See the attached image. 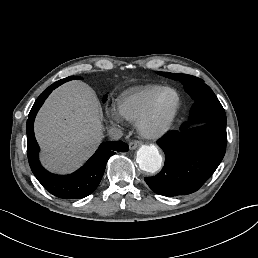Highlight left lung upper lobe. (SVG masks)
<instances>
[{
    "label": "left lung upper lobe",
    "instance_id": "obj_1",
    "mask_svg": "<svg viewBox=\"0 0 258 258\" xmlns=\"http://www.w3.org/2000/svg\"><path fill=\"white\" fill-rule=\"evenodd\" d=\"M158 74L179 80L184 85L185 92L194 100L189 122L183 127L201 122H212L226 126V115L221 103L202 79L187 74L169 72H158Z\"/></svg>",
    "mask_w": 258,
    "mask_h": 258
}]
</instances>
